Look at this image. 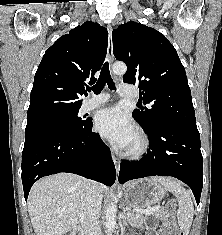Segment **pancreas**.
<instances>
[{"label":"pancreas","instance_id":"cf45deb5","mask_svg":"<svg viewBox=\"0 0 222 235\" xmlns=\"http://www.w3.org/2000/svg\"><path fill=\"white\" fill-rule=\"evenodd\" d=\"M154 216H156L159 219H163L165 217V213L162 209H159L154 212ZM137 218H138V215L135 213L129 212L127 215V220L130 221L131 223L136 222Z\"/></svg>","mask_w":222,"mask_h":235}]
</instances>
